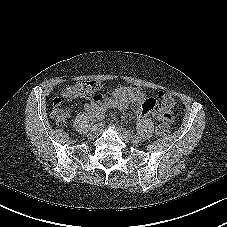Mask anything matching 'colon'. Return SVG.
Masks as SVG:
<instances>
[{"instance_id":"5ec220e1","label":"colon","mask_w":227,"mask_h":227,"mask_svg":"<svg viewBox=\"0 0 227 227\" xmlns=\"http://www.w3.org/2000/svg\"><path fill=\"white\" fill-rule=\"evenodd\" d=\"M101 85L97 81H79L72 86L67 87L62 93L61 96L56 97L53 100L51 117L58 125H64L69 117L70 111L65 106L66 101H71L77 97L83 98H101L98 95ZM158 99L161 108L166 113V118L161 122L157 128V134L159 136H165L169 132L171 114L177 109V102L172 97V95L166 92H160L158 94Z\"/></svg>"}]
</instances>
